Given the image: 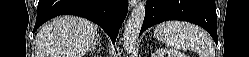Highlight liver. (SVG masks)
<instances>
[{"label": "liver", "instance_id": "obj_1", "mask_svg": "<svg viewBox=\"0 0 249 57\" xmlns=\"http://www.w3.org/2000/svg\"><path fill=\"white\" fill-rule=\"evenodd\" d=\"M97 26L87 19L61 16L44 25L36 36V57H84L98 39Z\"/></svg>", "mask_w": 249, "mask_h": 57}]
</instances>
